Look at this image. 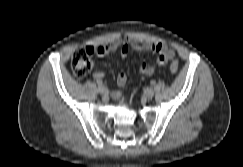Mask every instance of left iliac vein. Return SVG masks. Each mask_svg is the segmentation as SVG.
I'll return each instance as SVG.
<instances>
[{"instance_id":"1","label":"left iliac vein","mask_w":243,"mask_h":167,"mask_svg":"<svg viewBox=\"0 0 243 167\" xmlns=\"http://www.w3.org/2000/svg\"><path fill=\"white\" fill-rule=\"evenodd\" d=\"M154 96V90L152 88H147L144 91V97L147 99H151Z\"/></svg>"}]
</instances>
